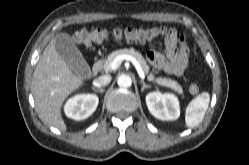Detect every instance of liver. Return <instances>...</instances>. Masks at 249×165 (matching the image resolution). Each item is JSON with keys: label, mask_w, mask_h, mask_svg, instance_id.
Returning a JSON list of instances; mask_svg holds the SVG:
<instances>
[{"label": "liver", "mask_w": 249, "mask_h": 165, "mask_svg": "<svg viewBox=\"0 0 249 165\" xmlns=\"http://www.w3.org/2000/svg\"><path fill=\"white\" fill-rule=\"evenodd\" d=\"M85 84L84 78L72 72L55 48V38L50 41L37 63L31 91L40 119L65 131L61 115L65 99Z\"/></svg>", "instance_id": "6515ba94"}]
</instances>
